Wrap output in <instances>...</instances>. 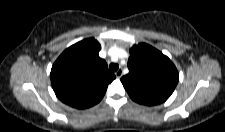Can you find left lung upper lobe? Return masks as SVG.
<instances>
[{
  "instance_id": "obj_1",
  "label": "left lung upper lobe",
  "mask_w": 225,
  "mask_h": 132,
  "mask_svg": "<svg viewBox=\"0 0 225 132\" xmlns=\"http://www.w3.org/2000/svg\"><path fill=\"white\" fill-rule=\"evenodd\" d=\"M128 68L129 73L121 78V82L131 99L144 105L165 102L179 80L170 59L145 43L130 49Z\"/></svg>"
}]
</instances>
